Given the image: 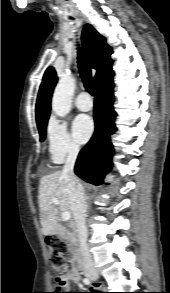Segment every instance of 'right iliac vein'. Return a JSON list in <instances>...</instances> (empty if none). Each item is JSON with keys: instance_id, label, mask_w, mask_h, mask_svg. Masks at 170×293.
Here are the masks:
<instances>
[{"instance_id": "63e3f726", "label": "right iliac vein", "mask_w": 170, "mask_h": 293, "mask_svg": "<svg viewBox=\"0 0 170 293\" xmlns=\"http://www.w3.org/2000/svg\"><path fill=\"white\" fill-rule=\"evenodd\" d=\"M87 277L93 279L99 277V272L97 270H93L87 274Z\"/></svg>"}]
</instances>
